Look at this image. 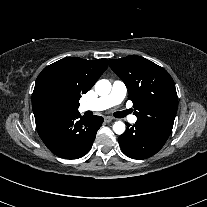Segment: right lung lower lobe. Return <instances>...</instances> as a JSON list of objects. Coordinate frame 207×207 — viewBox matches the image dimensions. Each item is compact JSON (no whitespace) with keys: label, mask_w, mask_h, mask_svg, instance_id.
Wrapping results in <instances>:
<instances>
[{"label":"right lung lower lobe","mask_w":207,"mask_h":207,"mask_svg":"<svg viewBox=\"0 0 207 207\" xmlns=\"http://www.w3.org/2000/svg\"><path fill=\"white\" fill-rule=\"evenodd\" d=\"M102 123L100 116L82 119L76 112L43 123L37 126V131L52 153L62 158L77 159L90 150Z\"/></svg>","instance_id":"98d812e1"}]
</instances>
